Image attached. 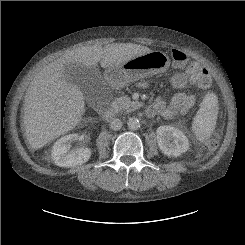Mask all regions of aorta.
<instances>
[{"label":"aorta","mask_w":245,"mask_h":245,"mask_svg":"<svg viewBox=\"0 0 245 245\" xmlns=\"http://www.w3.org/2000/svg\"><path fill=\"white\" fill-rule=\"evenodd\" d=\"M127 125L130 130H137L140 128V122L137 118H129Z\"/></svg>","instance_id":"obj_1"}]
</instances>
